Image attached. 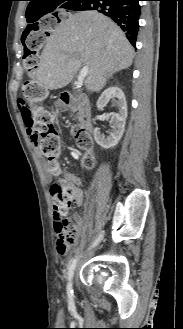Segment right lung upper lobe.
I'll use <instances>...</instances> for the list:
<instances>
[{
  "label": "right lung upper lobe",
  "instance_id": "right-lung-upper-lobe-1",
  "mask_svg": "<svg viewBox=\"0 0 183 329\" xmlns=\"http://www.w3.org/2000/svg\"><path fill=\"white\" fill-rule=\"evenodd\" d=\"M30 3L26 10V18L27 21L36 24V22L41 16L45 14V10L49 8L51 5H54L55 2L59 1H70V0H29ZM28 25L27 28H29Z\"/></svg>",
  "mask_w": 183,
  "mask_h": 329
}]
</instances>
